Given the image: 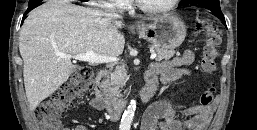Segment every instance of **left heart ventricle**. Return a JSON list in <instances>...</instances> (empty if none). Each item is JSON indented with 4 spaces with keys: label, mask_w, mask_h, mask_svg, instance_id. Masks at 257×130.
<instances>
[{
    "label": "left heart ventricle",
    "mask_w": 257,
    "mask_h": 130,
    "mask_svg": "<svg viewBox=\"0 0 257 130\" xmlns=\"http://www.w3.org/2000/svg\"><path fill=\"white\" fill-rule=\"evenodd\" d=\"M145 6L160 7L167 4L170 0H140Z\"/></svg>",
    "instance_id": "left-heart-ventricle-1"
}]
</instances>
